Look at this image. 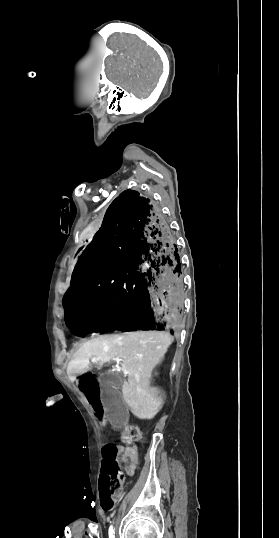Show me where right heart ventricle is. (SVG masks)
<instances>
[{
	"instance_id": "right-heart-ventricle-1",
	"label": "right heart ventricle",
	"mask_w": 279,
	"mask_h": 538,
	"mask_svg": "<svg viewBox=\"0 0 279 538\" xmlns=\"http://www.w3.org/2000/svg\"><path fill=\"white\" fill-rule=\"evenodd\" d=\"M57 231L60 235L64 236L66 234L65 227L62 221L57 223Z\"/></svg>"
}]
</instances>
